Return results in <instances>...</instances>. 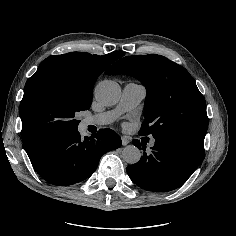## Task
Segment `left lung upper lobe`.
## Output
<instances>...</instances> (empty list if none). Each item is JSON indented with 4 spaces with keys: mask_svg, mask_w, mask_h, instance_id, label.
Segmentation results:
<instances>
[{
    "mask_svg": "<svg viewBox=\"0 0 236 236\" xmlns=\"http://www.w3.org/2000/svg\"><path fill=\"white\" fill-rule=\"evenodd\" d=\"M105 73L133 76L146 87V120L140 135L169 134L204 144L208 129L206 102L184 67L166 57L149 54L124 57Z\"/></svg>",
    "mask_w": 236,
    "mask_h": 236,
    "instance_id": "obj_1",
    "label": "left lung upper lobe"
}]
</instances>
